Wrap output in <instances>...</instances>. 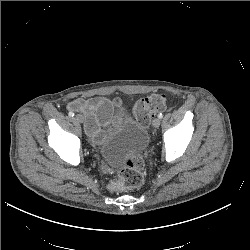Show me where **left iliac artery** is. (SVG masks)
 <instances>
[{
	"instance_id": "44dca946",
	"label": "left iliac artery",
	"mask_w": 250,
	"mask_h": 250,
	"mask_svg": "<svg viewBox=\"0 0 250 250\" xmlns=\"http://www.w3.org/2000/svg\"><path fill=\"white\" fill-rule=\"evenodd\" d=\"M158 118H159V119H162V118H163L162 113L158 114Z\"/></svg>"
}]
</instances>
